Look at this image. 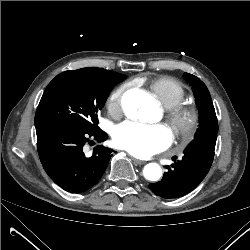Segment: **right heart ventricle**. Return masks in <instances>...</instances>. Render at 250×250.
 <instances>
[{
  "label": "right heart ventricle",
  "mask_w": 250,
  "mask_h": 250,
  "mask_svg": "<svg viewBox=\"0 0 250 250\" xmlns=\"http://www.w3.org/2000/svg\"><path fill=\"white\" fill-rule=\"evenodd\" d=\"M142 80H138L141 82ZM151 94L166 108L182 102L186 97L183 85L175 78L161 76L147 81Z\"/></svg>",
  "instance_id": "obj_1"
}]
</instances>
